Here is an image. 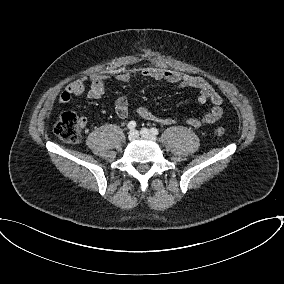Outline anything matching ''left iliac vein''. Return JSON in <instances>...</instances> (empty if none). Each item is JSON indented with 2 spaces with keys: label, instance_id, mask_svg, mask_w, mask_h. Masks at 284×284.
<instances>
[{
  "label": "left iliac vein",
  "instance_id": "4c4485c4",
  "mask_svg": "<svg viewBox=\"0 0 284 284\" xmlns=\"http://www.w3.org/2000/svg\"><path fill=\"white\" fill-rule=\"evenodd\" d=\"M140 135L144 138L150 139L152 141H156V136L147 128H142L140 130Z\"/></svg>",
  "mask_w": 284,
  "mask_h": 284
}]
</instances>
